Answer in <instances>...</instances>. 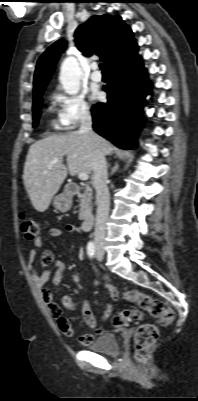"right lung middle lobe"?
Segmentation results:
<instances>
[{"label": "right lung middle lobe", "mask_w": 198, "mask_h": 401, "mask_svg": "<svg viewBox=\"0 0 198 401\" xmlns=\"http://www.w3.org/2000/svg\"><path fill=\"white\" fill-rule=\"evenodd\" d=\"M43 93V92H42ZM42 93H39L33 97V127H36L41 115L40 109L42 108Z\"/></svg>", "instance_id": "obj_1"}]
</instances>
